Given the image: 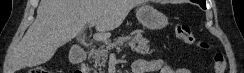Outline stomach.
<instances>
[{
  "label": "stomach",
  "mask_w": 244,
  "mask_h": 73,
  "mask_svg": "<svg viewBox=\"0 0 244 73\" xmlns=\"http://www.w3.org/2000/svg\"><path fill=\"white\" fill-rule=\"evenodd\" d=\"M138 21L150 30L163 29L168 25L167 16L148 4H142L136 11Z\"/></svg>",
  "instance_id": "obj_1"
}]
</instances>
